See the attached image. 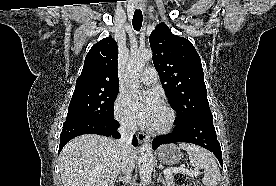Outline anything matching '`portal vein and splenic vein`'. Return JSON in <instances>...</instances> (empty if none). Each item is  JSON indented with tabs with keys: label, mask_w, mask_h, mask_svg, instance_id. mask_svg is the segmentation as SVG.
I'll return each instance as SVG.
<instances>
[{
	"label": "portal vein and splenic vein",
	"mask_w": 276,
	"mask_h": 186,
	"mask_svg": "<svg viewBox=\"0 0 276 186\" xmlns=\"http://www.w3.org/2000/svg\"><path fill=\"white\" fill-rule=\"evenodd\" d=\"M179 172L186 173L190 176H198L199 175V170L198 169L192 171V170H188V169H185V168L165 169L163 171V174L166 177H169V176H172L174 173H179Z\"/></svg>",
	"instance_id": "1"
}]
</instances>
